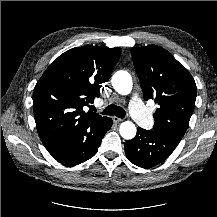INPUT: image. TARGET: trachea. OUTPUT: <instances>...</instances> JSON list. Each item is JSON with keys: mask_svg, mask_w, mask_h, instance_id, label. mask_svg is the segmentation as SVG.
<instances>
[{"mask_svg": "<svg viewBox=\"0 0 217 217\" xmlns=\"http://www.w3.org/2000/svg\"><path fill=\"white\" fill-rule=\"evenodd\" d=\"M93 111H96L95 107H92ZM103 115H115L118 118H124L126 116V112L123 108L120 106H117L115 104L108 105L102 112Z\"/></svg>", "mask_w": 217, "mask_h": 217, "instance_id": "3493384b", "label": "trachea"}]
</instances>
